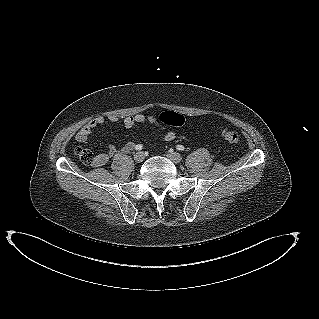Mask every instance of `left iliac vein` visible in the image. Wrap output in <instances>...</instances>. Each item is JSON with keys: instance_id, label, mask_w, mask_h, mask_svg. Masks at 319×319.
I'll use <instances>...</instances> for the list:
<instances>
[{"instance_id": "obj_1", "label": "left iliac vein", "mask_w": 319, "mask_h": 319, "mask_svg": "<svg viewBox=\"0 0 319 319\" xmlns=\"http://www.w3.org/2000/svg\"><path fill=\"white\" fill-rule=\"evenodd\" d=\"M167 157L174 163H180L182 160L181 154L177 152H168Z\"/></svg>"}]
</instances>
